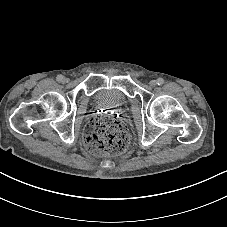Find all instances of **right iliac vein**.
Listing matches in <instances>:
<instances>
[{
  "instance_id": "63e3f726",
  "label": "right iliac vein",
  "mask_w": 227,
  "mask_h": 227,
  "mask_svg": "<svg viewBox=\"0 0 227 227\" xmlns=\"http://www.w3.org/2000/svg\"><path fill=\"white\" fill-rule=\"evenodd\" d=\"M67 81H68V79H67V78H64V79H63V82H67Z\"/></svg>"
}]
</instances>
